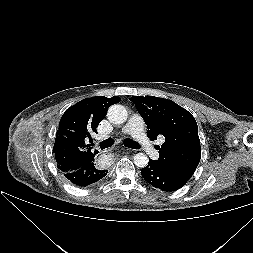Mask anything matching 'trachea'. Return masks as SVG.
<instances>
[{
    "instance_id": "obj_1",
    "label": "trachea",
    "mask_w": 253,
    "mask_h": 253,
    "mask_svg": "<svg viewBox=\"0 0 253 253\" xmlns=\"http://www.w3.org/2000/svg\"><path fill=\"white\" fill-rule=\"evenodd\" d=\"M123 143L128 148H132V149H139L140 148L139 144L136 141H133L132 139H129V138L125 139L123 141ZM113 144H114V140L112 138H109V139L102 141L99 146H100L101 150H103L105 148L111 147Z\"/></svg>"
}]
</instances>
